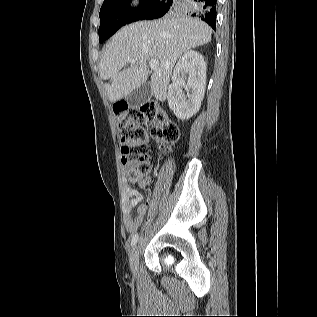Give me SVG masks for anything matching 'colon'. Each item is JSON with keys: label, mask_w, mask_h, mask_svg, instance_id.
Returning a JSON list of instances; mask_svg holds the SVG:
<instances>
[{"label": "colon", "mask_w": 317, "mask_h": 317, "mask_svg": "<svg viewBox=\"0 0 317 317\" xmlns=\"http://www.w3.org/2000/svg\"><path fill=\"white\" fill-rule=\"evenodd\" d=\"M117 129L121 141V161L132 182H138L149 172L148 135L145 126L150 125V136L164 152L177 142L178 126L167 113L154 103L140 109L118 104L114 108Z\"/></svg>", "instance_id": "1"}]
</instances>
